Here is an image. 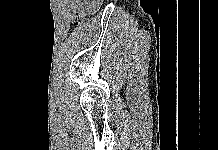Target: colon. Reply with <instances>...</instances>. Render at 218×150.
<instances>
[{
	"instance_id": "colon-1",
	"label": "colon",
	"mask_w": 218,
	"mask_h": 150,
	"mask_svg": "<svg viewBox=\"0 0 218 150\" xmlns=\"http://www.w3.org/2000/svg\"><path fill=\"white\" fill-rule=\"evenodd\" d=\"M93 10H87V9H80L73 13L72 19L74 24L78 25L82 23L83 21L87 20L92 13Z\"/></svg>"
}]
</instances>
